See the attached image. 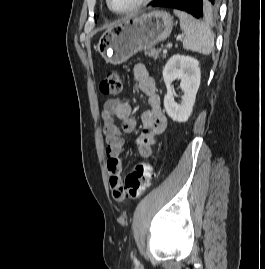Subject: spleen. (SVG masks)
<instances>
[{
	"label": "spleen",
	"instance_id": "spleen-1",
	"mask_svg": "<svg viewBox=\"0 0 265 269\" xmlns=\"http://www.w3.org/2000/svg\"><path fill=\"white\" fill-rule=\"evenodd\" d=\"M184 31L183 48L204 55H209L214 47V35L209 26L196 20L184 11L174 9Z\"/></svg>",
	"mask_w": 265,
	"mask_h": 269
}]
</instances>
